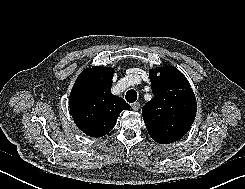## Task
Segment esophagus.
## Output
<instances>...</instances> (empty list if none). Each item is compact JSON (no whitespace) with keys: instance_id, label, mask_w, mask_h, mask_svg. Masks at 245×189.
<instances>
[{"instance_id":"esophagus-1","label":"esophagus","mask_w":245,"mask_h":189,"mask_svg":"<svg viewBox=\"0 0 245 189\" xmlns=\"http://www.w3.org/2000/svg\"><path fill=\"white\" fill-rule=\"evenodd\" d=\"M132 109L134 111H138L140 109V103L139 102H135L131 105Z\"/></svg>"}]
</instances>
